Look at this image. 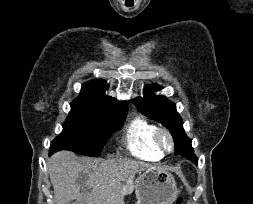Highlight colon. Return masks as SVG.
Here are the masks:
<instances>
[{"label":"colon","mask_w":253,"mask_h":204,"mask_svg":"<svg viewBox=\"0 0 253 204\" xmlns=\"http://www.w3.org/2000/svg\"><path fill=\"white\" fill-rule=\"evenodd\" d=\"M176 204H183V198L179 197L176 201Z\"/></svg>","instance_id":"colon-1"}]
</instances>
